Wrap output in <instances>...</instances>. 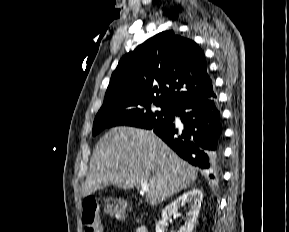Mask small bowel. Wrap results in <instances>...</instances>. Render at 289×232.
I'll return each instance as SVG.
<instances>
[{"instance_id": "small-bowel-1", "label": "small bowel", "mask_w": 289, "mask_h": 232, "mask_svg": "<svg viewBox=\"0 0 289 232\" xmlns=\"http://www.w3.org/2000/svg\"><path fill=\"white\" fill-rule=\"evenodd\" d=\"M135 232H148L147 228L145 226H138L135 229Z\"/></svg>"}]
</instances>
